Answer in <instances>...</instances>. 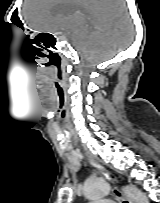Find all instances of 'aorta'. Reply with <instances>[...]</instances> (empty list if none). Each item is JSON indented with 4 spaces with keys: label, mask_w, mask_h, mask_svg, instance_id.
I'll return each mask as SVG.
<instances>
[{
    "label": "aorta",
    "mask_w": 160,
    "mask_h": 203,
    "mask_svg": "<svg viewBox=\"0 0 160 203\" xmlns=\"http://www.w3.org/2000/svg\"><path fill=\"white\" fill-rule=\"evenodd\" d=\"M110 189L111 186L106 181H88L84 185L83 193L88 199H100L106 196ZM123 191L134 203H149L147 196L133 185L123 187Z\"/></svg>",
    "instance_id": "aorta-1"
}]
</instances>
